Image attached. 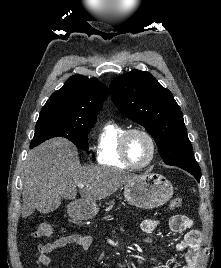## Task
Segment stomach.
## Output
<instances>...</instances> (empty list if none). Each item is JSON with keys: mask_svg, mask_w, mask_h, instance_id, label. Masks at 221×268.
Instances as JSON below:
<instances>
[{"mask_svg": "<svg viewBox=\"0 0 221 268\" xmlns=\"http://www.w3.org/2000/svg\"><path fill=\"white\" fill-rule=\"evenodd\" d=\"M173 193L171 182L156 173L136 175L123 187L126 201L143 209L164 205L172 198ZM98 211V205L94 201L79 200L68 207L69 215L80 220L92 219Z\"/></svg>", "mask_w": 221, "mask_h": 268, "instance_id": "0dacf381", "label": "stomach"}]
</instances>
